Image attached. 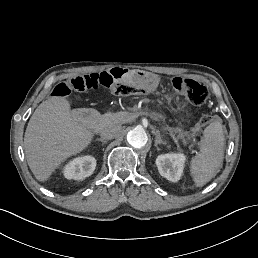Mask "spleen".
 Here are the masks:
<instances>
[{
	"label": "spleen",
	"mask_w": 258,
	"mask_h": 258,
	"mask_svg": "<svg viewBox=\"0 0 258 258\" xmlns=\"http://www.w3.org/2000/svg\"><path fill=\"white\" fill-rule=\"evenodd\" d=\"M225 137L220 122H212L204 130L200 152L192 158L190 171L196 186L214 178L223 164Z\"/></svg>",
	"instance_id": "obj_1"
}]
</instances>
